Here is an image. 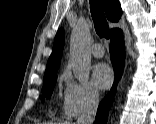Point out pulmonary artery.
Here are the masks:
<instances>
[{
  "mask_svg": "<svg viewBox=\"0 0 156 124\" xmlns=\"http://www.w3.org/2000/svg\"><path fill=\"white\" fill-rule=\"evenodd\" d=\"M91 53L95 57L100 58V57H102L104 55V48L99 43L93 44L92 47H91Z\"/></svg>",
  "mask_w": 156,
  "mask_h": 124,
  "instance_id": "1",
  "label": "pulmonary artery"
}]
</instances>
